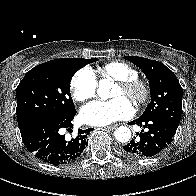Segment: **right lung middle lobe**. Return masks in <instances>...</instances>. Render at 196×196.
Returning a JSON list of instances; mask_svg holds the SVG:
<instances>
[{"instance_id": "1", "label": "right lung middle lobe", "mask_w": 196, "mask_h": 196, "mask_svg": "<svg viewBox=\"0 0 196 196\" xmlns=\"http://www.w3.org/2000/svg\"><path fill=\"white\" fill-rule=\"evenodd\" d=\"M97 60L55 59L28 71L16 89L18 125L42 115L65 117L75 113L69 88L72 76Z\"/></svg>"}]
</instances>
